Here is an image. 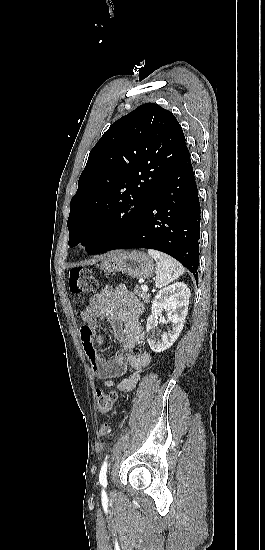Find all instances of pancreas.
<instances>
[{
  "label": "pancreas",
  "mask_w": 265,
  "mask_h": 550,
  "mask_svg": "<svg viewBox=\"0 0 265 550\" xmlns=\"http://www.w3.org/2000/svg\"><path fill=\"white\" fill-rule=\"evenodd\" d=\"M134 292L140 299H142L144 301V303H149L150 302L151 295L146 293V292H143L140 287L136 286L135 289H134Z\"/></svg>",
  "instance_id": "1"
}]
</instances>
